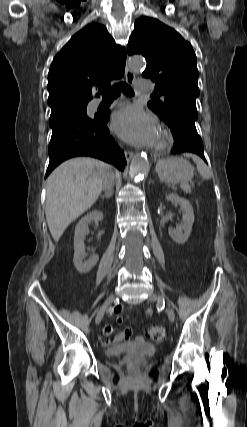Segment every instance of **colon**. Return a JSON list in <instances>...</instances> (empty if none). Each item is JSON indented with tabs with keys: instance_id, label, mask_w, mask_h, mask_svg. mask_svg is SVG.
<instances>
[{
	"instance_id": "colon-1",
	"label": "colon",
	"mask_w": 247,
	"mask_h": 427,
	"mask_svg": "<svg viewBox=\"0 0 247 427\" xmlns=\"http://www.w3.org/2000/svg\"><path fill=\"white\" fill-rule=\"evenodd\" d=\"M147 335L149 338L155 341H160L165 336V330L163 327L158 325H151L147 329Z\"/></svg>"
}]
</instances>
